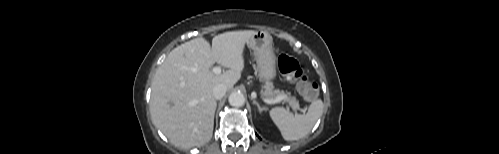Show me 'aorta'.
Listing matches in <instances>:
<instances>
[{"instance_id": "aorta-1", "label": "aorta", "mask_w": 499, "mask_h": 154, "mask_svg": "<svg viewBox=\"0 0 499 154\" xmlns=\"http://www.w3.org/2000/svg\"><path fill=\"white\" fill-rule=\"evenodd\" d=\"M228 101L231 106L240 107L245 103V96L241 92H232L228 98Z\"/></svg>"}]
</instances>
